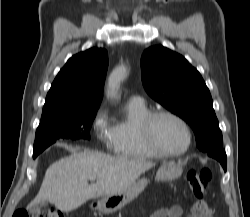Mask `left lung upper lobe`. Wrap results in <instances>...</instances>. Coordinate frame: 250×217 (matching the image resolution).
Returning a JSON list of instances; mask_svg holds the SVG:
<instances>
[{
    "label": "left lung upper lobe",
    "mask_w": 250,
    "mask_h": 217,
    "mask_svg": "<svg viewBox=\"0 0 250 217\" xmlns=\"http://www.w3.org/2000/svg\"><path fill=\"white\" fill-rule=\"evenodd\" d=\"M141 68L146 92L192 127L199 150L222 149L211 94L200 73L183 56L161 45L144 51Z\"/></svg>",
    "instance_id": "5c2ea615"
}]
</instances>
